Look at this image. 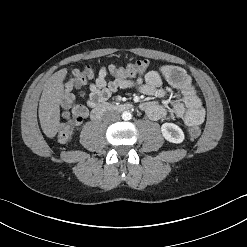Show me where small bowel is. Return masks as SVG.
<instances>
[{
	"mask_svg": "<svg viewBox=\"0 0 247 247\" xmlns=\"http://www.w3.org/2000/svg\"><path fill=\"white\" fill-rule=\"evenodd\" d=\"M109 73V68L102 67L96 79L89 83V91L82 92L88 107L104 103L118 90L134 89L155 98L141 104V109L152 120L177 118L187 126L203 123L205 111L202 102L190 76L181 67L164 65L159 70H151L135 79L115 77L108 81ZM164 81L177 89L178 94L167 93L162 87ZM73 88V79L69 78L65 83L61 107L70 112L73 118H80L82 121L87 116L88 109L75 104Z\"/></svg>",
	"mask_w": 247,
	"mask_h": 247,
	"instance_id": "obj_1",
	"label": "small bowel"
}]
</instances>
